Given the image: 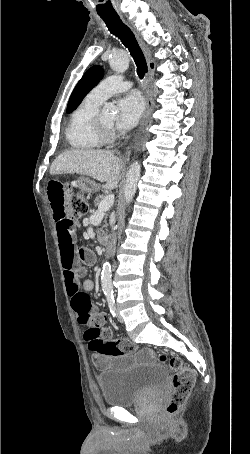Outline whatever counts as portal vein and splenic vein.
I'll use <instances>...</instances> for the list:
<instances>
[{
  "instance_id": "obj_1",
  "label": "portal vein and splenic vein",
  "mask_w": 250,
  "mask_h": 454,
  "mask_svg": "<svg viewBox=\"0 0 250 454\" xmlns=\"http://www.w3.org/2000/svg\"><path fill=\"white\" fill-rule=\"evenodd\" d=\"M114 203V195L113 194H109L107 196H105L100 204L98 205V209L96 211L95 214L99 215V214H104L105 212H107L113 205Z\"/></svg>"
}]
</instances>
